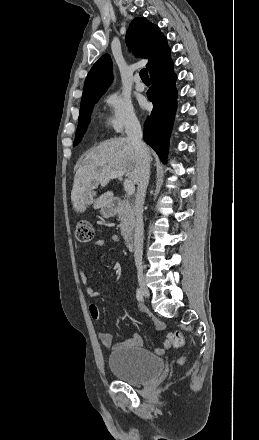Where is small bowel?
I'll return each mask as SVG.
<instances>
[{
	"mask_svg": "<svg viewBox=\"0 0 259 440\" xmlns=\"http://www.w3.org/2000/svg\"><path fill=\"white\" fill-rule=\"evenodd\" d=\"M111 240L113 242H119L120 239H119V236L112 235ZM104 243H105L104 239H98L94 242V245L95 246H102V245H104ZM79 277H80L81 283L85 287V291H86V294L88 295V297L93 298V297L100 295V292L96 291L89 284L88 278L83 270H80ZM143 311L148 313L147 310H145V309H143ZM89 314H90L91 318L94 320L99 318V309L95 304H91L89 306ZM148 316L151 319V321L157 331H161L164 329L165 325L162 321H160L159 319H157L156 317H154L153 315H151L149 313H148ZM98 338H99L100 342L105 347L109 348V347L113 346V336L110 333L99 332ZM139 345H141V338L138 335H133L131 338L126 339L125 341L117 344L115 347L119 348V347H130V346H139ZM168 347H169V344L167 341H165L164 348H156L155 352L158 354H161L164 352V349L168 348Z\"/></svg>",
	"mask_w": 259,
	"mask_h": 440,
	"instance_id": "c3829d8e",
	"label": "small bowel"
}]
</instances>
